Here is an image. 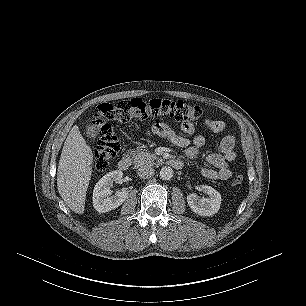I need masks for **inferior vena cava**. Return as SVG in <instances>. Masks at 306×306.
I'll return each mask as SVG.
<instances>
[{
	"label": "inferior vena cava",
	"mask_w": 306,
	"mask_h": 306,
	"mask_svg": "<svg viewBox=\"0 0 306 306\" xmlns=\"http://www.w3.org/2000/svg\"><path fill=\"white\" fill-rule=\"evenodd\" d=\"M154 171L155 170L151 167V165H144V166H141L140 168H138L137 175L140 178L148 179V178H151L154 175Z\"/></svg>",
	"instance_id": "1"
}]
</instances>
